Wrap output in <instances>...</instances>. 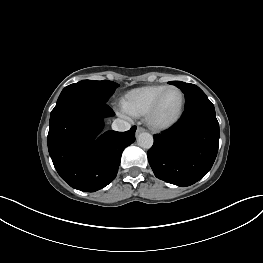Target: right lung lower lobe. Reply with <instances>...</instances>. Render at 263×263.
I'll use <instances>...</instances> for the list:
<instances>
[{
    "label": "right lung lower lobe",
    "mask_w": 263,
    "mask_h": 263,
    "mask_svg": "<svg viewBox=\"0 0 263 263\" xmlns=\"http://www.w3.org/2000/svg\"><path fill=\"white\" fill-rule=\"evenodd\" d=\"M105 103L70 99L51 112L48 150L55 169L71 187L95 192L111 183L123 150L135 141L136 127L100 135L103 118L113 116Z\"/></svg>",
    "instance_id": "98d812e1"
}]
</instances>
